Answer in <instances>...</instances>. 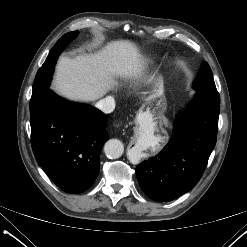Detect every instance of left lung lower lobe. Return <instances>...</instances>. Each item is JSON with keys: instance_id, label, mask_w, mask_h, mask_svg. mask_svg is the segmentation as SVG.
<instances>
[{"instance_id": "0a47b994", "label": "left lung lower lobe", "mask_w": 247, "mask_h": 247, "mask_svg": "<svg viewBox=\"0 0 247 247\" xmlns=\"http://www.w3.org/2000/svg\"><path fill=\"white\" fill-rule=\"evenodd\" d=\"M220 99L196 93L190 107L175 120L163 150L136 167L140 187L154 201H171L200 180L217 139Z\"/></svg>"}]
</instances>
